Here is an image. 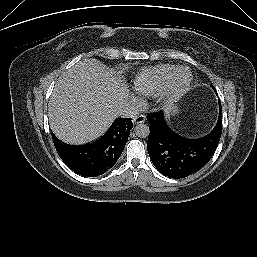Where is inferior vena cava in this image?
Masks as SVG:
<instances>
[{
  "label": "inferior vena cava",
  "instance_id": "602c4592",
  "mask_svg": "<svg viewBox=\"0 0 257 257\" xmlns=\"http://www.w3.org/2000/svg\"><path fill=\"white\" fill-rule=\"evenodd\" d=\"M117 114L122 118H135L139 114V110L134 104L124 102L118 108Z\"/></svg>",
  "mask_w": 257,
  "mask_h": 257
}]
</instances>
